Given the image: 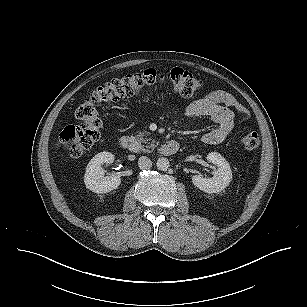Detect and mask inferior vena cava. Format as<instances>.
<instances>
[{
    "label": "inferior vena cava",
    "instance_id": "602c4592",
    "mask_svg": "<svg viewBox=\"0 0 307 307\" xmlns=\"http://www.w3.org/2000/svg\"><path fill=\"white\" fill-rule=\"evenodd\" d=\"M138 166L142 170L150 169L152 167V161L146 156H141L138 160Z\"/></svg>",
    "mask_w": 307,
    "mask_h": 307
}]
</instances>
